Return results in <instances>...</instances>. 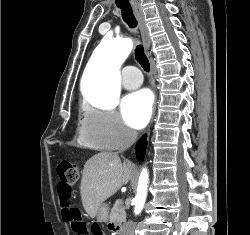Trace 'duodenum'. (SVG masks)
I'll list each match as a JSON object with an SVG mask.
<instances>
[{"label": "duodenum", "instance_id": "duodenum-1", "mask_svg": "<svg viewBox=\"0 0 250 235\" xmlns=\"http://www.w3.org/2000/svg\"><path fill=\"white\" fill-rule=\"evenodd\" d=\"M111 232L114 233L115 235H121L120 229L117 226H113L111 228Z\"/></svg>", "mask_w": 250, "mask_h": 235}]
</instances>
